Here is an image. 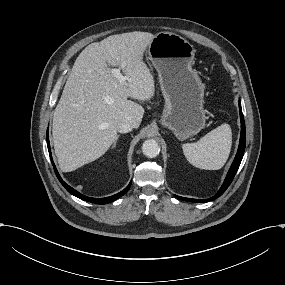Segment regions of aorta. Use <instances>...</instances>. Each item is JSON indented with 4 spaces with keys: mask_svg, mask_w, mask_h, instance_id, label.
Listing matches in <instances>:
<instances>
[{
    "mask_svg": "<svg viewBox=\"0 0 285 285\" xmlns=\"http://www.w3.org/2000/svg\"><path fill=\"white\" fill-rule=\"evenodd\" d=\"M142 152L148 158H155L160 152V146L156 140L148 139L142 145Z\"/></svg>",
    "mask_w": 285,
    "mask_h": 285,
    "instance_id": "1",
    "label": "aorta"
}]
</instances>
